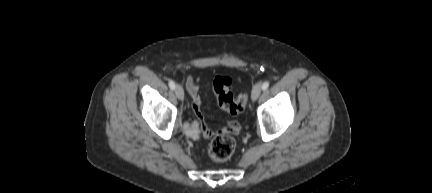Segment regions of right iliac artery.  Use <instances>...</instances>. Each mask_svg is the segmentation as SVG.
I'll return each mask as SVG.
<instances>
[{
    "label": "right iliac artery",
    "instance_id": "1",
    "mask_svg": "<svg viewBox=\"0 0 432 193\" xmlns=\"http://www.w3.org/2000/svg\"><path fill=\"white\" fill-rule=\"evenodd\" d=\"M169 87H170L172 90L175 89V83H174V81H172V80L169 81Z\"/></svg>",
    "mask_w": 432,
    "mask_h": 193
}]
</instances>
